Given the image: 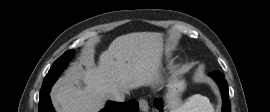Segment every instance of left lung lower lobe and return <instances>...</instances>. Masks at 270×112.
Here are the masks:
<instances>
[{"mask_svg": "<svg viewBox=\"0 0 270 112\" xmlns=\"http://www.w3.org/2000/svg\"><path fill=\"white\" fill-rule=\"evenodd\" d=\"M209 76H211L218 86L220 87L222 99H223V105H222V112H231V103L229 101V91H228V84L225 80L224 75L220 71H214L212 73H209ZM154 105L157 109H159L162 112V103L160 100H155Z\"/></svg>", "mask_w": 270, "mask_h": 112, "instance_id": "obj_1", "label": "left lung lower lobe"}]
</instances>
